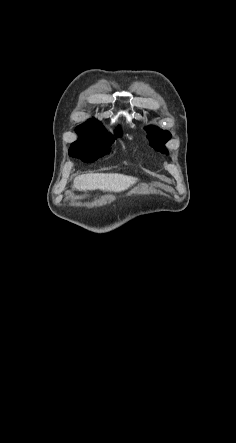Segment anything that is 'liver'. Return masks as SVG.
Masks as SVG:
<instances>
[{"mask_svg": "<svg viewBox=\"0 0 236 443\" xmlns=\"http://www.w3.org/2000/svg\"><path fill=\"white\" fill-rule=\"evenodd\" d=\"M137 181L136 178L117 173H91L74 179V188L79 191L102 190L122 192Z\"/></svg>", "mask_w": 236, "mask_h": 443, "instance_id": "6515ba94", "label": "liver"}]
</instances>
